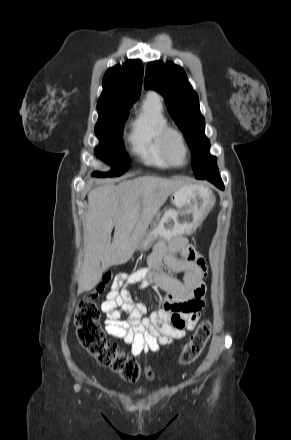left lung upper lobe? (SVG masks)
<instances>
[{"mask_svg":"<svg viewBox=\"0 0 291 440\" xmlns=\"http://www.w3.org/2000/svg\"><path fill=\"white\" fill-rule=\"evenodd\" d=\"M144 87L156 90L165 98L170 115L191 149L195 178L204 179L218 173L216 158L209 152L210 142L205 136V120L200 113L198 95L185 71L172 62L148 63Z\"/></svg>","mask_w":291,"mask_h":440,"instance_id":"1","label":"left lung upper lobe"}]
</instances>
